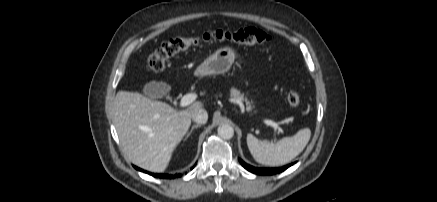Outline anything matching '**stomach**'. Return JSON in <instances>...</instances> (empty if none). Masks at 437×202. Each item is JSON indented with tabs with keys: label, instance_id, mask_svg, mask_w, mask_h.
<instances>
[{
	"label": "stomach",
	"instance_id": "1",
	"mask_svg": "<svg viewBox=\"0 0 437 202\" xmlns=\"http://www.w3.org/2000/svg\"><path fill=\"white\" fill-rule=\"evenodd\" d=\"M236 56V51L232 47H221L197 67L195 75L203 77L223 74L230 69Z\"/></svg>",
	"mask_w": 437,
	"mask_h": 202
}]
</instances>
